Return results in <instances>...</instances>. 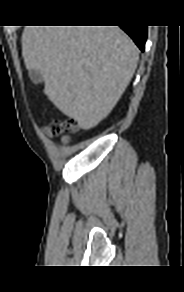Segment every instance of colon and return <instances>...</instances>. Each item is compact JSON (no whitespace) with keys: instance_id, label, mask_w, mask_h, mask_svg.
<instances>
[{"instance_id":"obj_1","label":"colon","mask_w":184,"mask_h":292,"mask_svg":"<svg viewBox=\"0 0 184 292\" xmlns=\"http://www.w3.org/2000/svg\"><path fill=\"white\" fill-rule=\"evenodd\" d=\"M77 123L73 119L55 120L45 128L49 136H61L63 141L69 140V135L77 131Z\"/></svg>"}]
</instances>
